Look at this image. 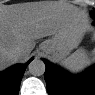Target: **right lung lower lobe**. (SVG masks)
<instances>
[{"instance_id": "1", "label": "right lung lower lobe", "mask_w": 95, "mask_h": 95, "mask_svg": "<svg viewBox=\"0 0 95 95\" xmlns=\"http://www.w3.org/2000/svg\"><path fill=\"white\" fill-rule=\"evenodd\" d=\"M27 65L17 64L2 72L0 75L1 89H5L7 94H17Z\"/></svg>"}]
</instances>
